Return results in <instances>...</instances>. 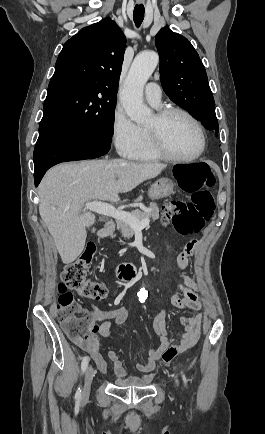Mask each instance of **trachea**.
I'll use <instances>...</instances> for the list:
<instances>
[{"mask_svg":"<svg viewBox=\"0 0 265 434\" xmlns=\"http://www.w3.org/2000/svg\"><path fill=\"white\" fill-rule=\"evenodd\" d=\"M145 9L143 5H136L133 11V19L136 26H140L144 19Z\"/></svg>","mask_w":265,"mask_h":434,"instance_id":"obj_1","label":"trachea"}]
</instances>
